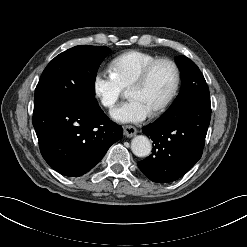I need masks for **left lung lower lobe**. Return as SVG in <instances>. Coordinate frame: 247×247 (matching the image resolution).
I'll return each mask as SVG.
<instances>
[{
  "label": "left lung lower lobe",
  "instance_id": "left-lung-lower-lobe-1",
  "mask_svg": "<svg viewBox=\"0 0 247 247\" xmlns=\"http://www.w3.org/2000/svg\"><path fill=\"white\" fill-rule=\"evenodd\" d=\"M209 95H199L184 107L167 110L142 128L153 141L152 154L138 162L153 182L168 183L182 177L201 158L210 123Z\"/></svg>",
  "mask_w": 247,
  "mask_h": 247
}]
</instances>
